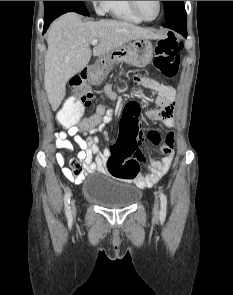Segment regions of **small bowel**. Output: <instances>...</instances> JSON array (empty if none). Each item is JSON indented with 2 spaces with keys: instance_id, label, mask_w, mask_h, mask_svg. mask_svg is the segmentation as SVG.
<instances>
[{
  "instance_id": "small-bowel-1",
  "label": "small bowel",
  "mask_w": 233,
  "mask_h": 295,
  "mask_svg": "<svg viewBox=\"0 0 233 295\" xmlns=\"http://www.w3.org/2000/svg\"><path fill=\"white\" fill-rule=\"evenodd\" d=\"M143 79L142 76H137V82ZM156 108L147 111V117L152 122H160L167 127L174 126V109L175 98H166L160 95L155 97ZM125 111H130L133 116L138 119L140 106L138 102H130ZM113 111L106 110L102 116L99 125L95 128L87 130L82 124L70 125L66 131L61 132L55 140V148L64 152L56 155V161L62 169V173L66 178L76 184H81L88 174L94 172L109 173L108 161L111 156V150L106 147L103 150L99 148V138L96 133H104L105 126L112 121ZM80 132L88 133L89 136L84 139L79 135ZM73 138L74 142L80 148L76 156L69 157V166H65V160L73 150V144L69 138ZM174 135L169 133L162 145L164 157L160 160L150 159L149 172L147 174H138L132 182L139 188H148L153 186L160 178H162L170 169L174 160Z\"/></svg>"
}]
</instances>
